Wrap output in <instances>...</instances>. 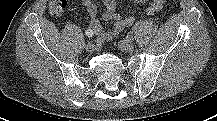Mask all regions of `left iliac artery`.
<instances>
[{"label":"left iliac artery","instance_id":"obj_1","mask_svg":"<svg viewBox=\"0 0 217 121\" xmlns=\"http://www.w3.org/2000/svg\"><path fill=\"white\" fill-rule=\"evenodd\" d=\"M149 23L148 21L145 20H140L138 22L135 23V25L132 28V32L136 33L138 32L140 29H142L143 27L147 26ZM128 37V36H127ZM131 37V35H129V38Z\"/></svg>","mask_w":217,"mask_h":121}]
</instances>
